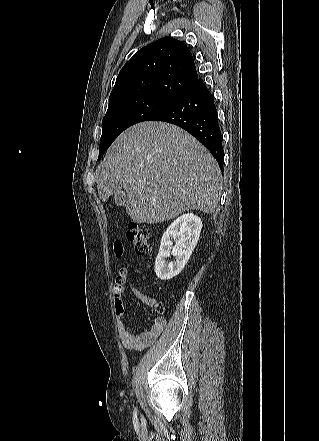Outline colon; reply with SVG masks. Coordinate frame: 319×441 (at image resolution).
I'll use <instances>...</instances> for the list:
<instances>
[{
    "label": "colon",
    "instance_id": "1",
    "mask_svg": "<svg viewBox=\"0 0 319 441\" xmlns=\"http://www.w3.org/2000/svg\"><path fill=\"white\" fill-rule=\"evenodd\" d=\"M127 236L137 254L144 255L148 252L150 230L147 226L132 223L129 226ZM157 310L161 311V306H157Z\"/></svg>",
    "mask_w": 319,
    "mask_h": 441
}]
</instances>
